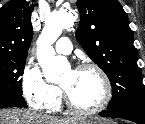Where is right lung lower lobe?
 <instances>
[{"label":"right lung lower lobe","instance_id":"obj_1","mask_svg":"<svg viewBox=\"0 0 145 124\" xmlns=\"http://www.w3.org/2000/svg\"><path fill=\"white\" fill-rule=\"evenodd\" d=\"M7 107H25L27 108L24 97L19 94L0 95V108Z\"/></svg>","mask_w":145,"mask_h":124}]
</instances>
